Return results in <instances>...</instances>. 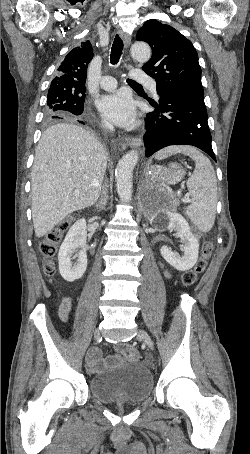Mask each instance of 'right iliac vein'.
I'll use <instances>...</instances> for the list:
<instances>
[{
    "label": "right iliac vein",
    "mask_w": 250,
    "mask_h": 454,
    "mask_svg": "<svg viewBox=\"0 0 250 454\" xmlns=\"http://www.w3.org/2000/svg\"><path fill=\"white\" fill-rule=\"evenodd\" d=\"M99 337H100V332H99V330L97 329V330H95V332H94V339H98Z\"/></svg>",
    "instance_id": "right-iliac-vein-1"
}]
</instances>
